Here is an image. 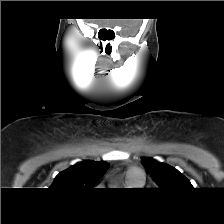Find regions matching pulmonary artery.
Returning a JSON list of instances; mask_svg holds the SVG:
<instances>
[{
  "label": "pulmonary artery",
  "instance_id": "1",
  "mask_svg": "<svg viewBox=\"0 0 224 224\" xmlns=\"http://www.w3.org/2000/svg\"><path fill=\"white\" fill-rule=\"evenodd\" d=\"M127 180L134 185L143 183V173L139 169L132 168L128 170Z\"/></svg>",
  "mask_w": 224,
  "mask_h": 224
}]
</instances>
